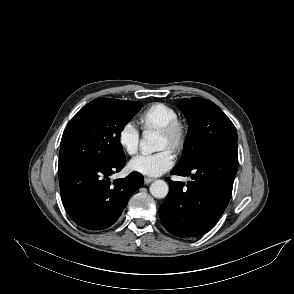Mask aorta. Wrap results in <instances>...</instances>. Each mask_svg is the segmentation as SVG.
I'll use <instances>...</instances> for the list:
<instances>
[{
	"instance_id": "aorta-1",
	"label": "aorta",
	"mask_w": 294,
	"mask_h": 294,
	"mask_svg": "<svg viewBox=\"0 0 294 294\" xmlns=\"http://www.w3.org/2000/svg\"><path fill=\"white\" fill-rule=\"evenodd\" d=\"M159 135L146 131L140 141V147L145 153H153L159 150ZM169 191L168 184L163 180H156L150 185V193L155 198H164Z\"/></svg>"
}]
</instances>
